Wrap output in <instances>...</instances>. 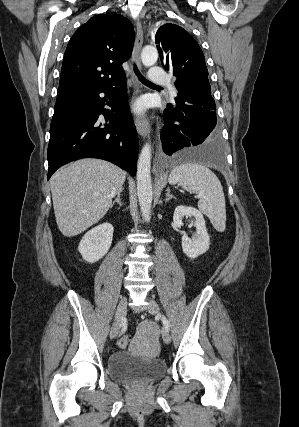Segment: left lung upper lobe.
Segmentation results:
<instances>
[{
	"mask_svg": "<svg viewBox=\"0 0 299 427\" xmlns=\"http://www.w3.org/2000/svg\"><path fill=\"white\" fill-rule=\"evenodd\" d=\"M163 67L177 77L178 93L187 99L214 106L204 54L196 40L182 27L163 24L155 35Z\"/></svg>",
	"mask_w": 299,
	"mask_h": 427,
	"instance_id": "left-lung-upper-lobe-1",
	"label": "left lung upper lobe"
}]
</instances>
